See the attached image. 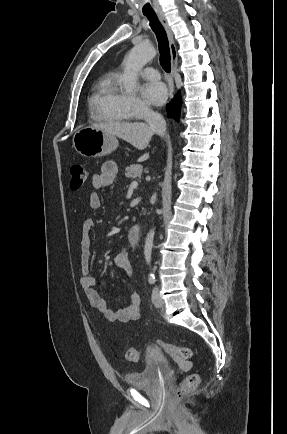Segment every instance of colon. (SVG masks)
I'll use <instances>...</instances> for the list:
<instances>
[{
  "mask_svg": "<svg viewBox=\"0 0 287 434\" xmlns=\"http://www.w3.org/2000/svg\"><path fill=\"white\" fill-rule=\"evenodd\" d=\"M71 180L70 188L72 190L80 189L88 179V172L82 164H74L70 170ZM158 347L179 361H192L194 355L191 349L187 347H180L168 342L158 341ZM125 358L130 362L138 360V351L134 347H129L125 351ZM200 383V375L198 373H191L187 375L182 383L177 387L174 393L176 399L182 398L186 393L194 390Z\"/></svg>",
  "mask_w": 287,
  "mask_h": 434,
  "instance_id": "1",
  "label": "colon"
}]
</instances>
